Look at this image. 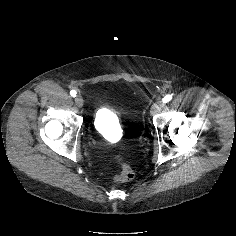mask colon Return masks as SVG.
I'll return each mask as SVG.
<instances>
[{
	"label": "colon",
	"instance_id": "1",
	"mask_svg": "<svg viewBox=\"0 0 236 236\" xmlns=\"http://www.w3.org/2000/svg\"><path fill=\"white\" fill-rule=\"evenodd\" d=\"M119 161L121 164V168L120 172L115 177V181L120 183L130 181L134 177L133 169L127 162L123 161L121 158H119Z\"/></svg>",
	"mask_w": 236,
	"mask_h": 236
}]
</instances>
